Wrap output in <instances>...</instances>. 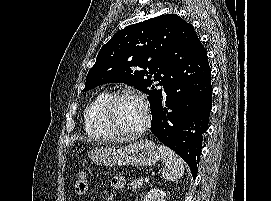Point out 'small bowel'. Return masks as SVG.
I'll return each instance as SVG.
<instances>
[{
  "label": "small bowel",
  "mask_w": 271,
  "mask_h": 201,
  "mask_svg": "<svg viewBox=\"0 0 271 201\" xmlns=\"http://www.w3.org/2000/svg\"><path fill=\"white\" fill-rule=\"evenodd\" d=\"M111 187L115 190H120L125 186V179L120 176H115L110 181Z\"/></svg>",
  "instance_id": "obj_1"
}]
</instances>
